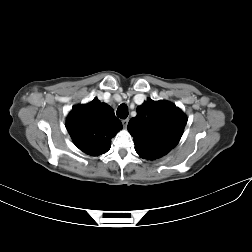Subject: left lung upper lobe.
<instances>
[{"label": "left lung upper lobe", "instance_id": "5c2ea615", "mask_svg": "<svg viewBox=\"0 0 252 252\" xmlns=\"http://www.w3.org/2000/svg\"><path fill=\"white\" fill-rule=\"evenodd\" d=\"M186 123V115L173 103L148 98L137 107V115L131 118L127 129L134 137L138 155L155 160L178 144Z\"/></svg>", "mask_w": 252, "mask_h": 252}]
</instances>
